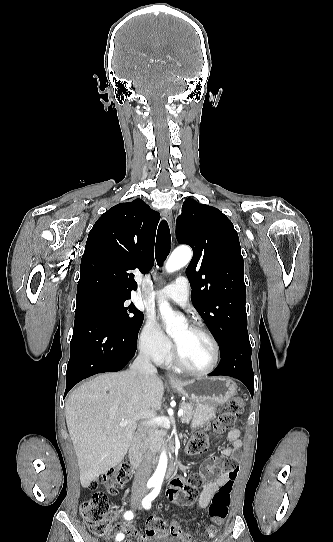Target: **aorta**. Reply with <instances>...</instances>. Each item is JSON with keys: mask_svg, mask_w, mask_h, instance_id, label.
Instances as JSON below:
<instances>
[{"mask_svg": "<svg viewBox=\"0 0 333 542\" xmlns=\"http://www.w3.org/2000/svg\"><path fill=\"white\" fill-rule=\"evenodd\" d=\"M191 256L192 254L189 248H187V252H183V250H174L169 260H167V264H166L167 272H169L170 274V272H177V270H180V268H184V266L188 264ZM159 312L166 324L167 334H170V332H173L174 328H176V326H179V324H181V318H179V316H175L168 302H160ZM167 464L168 462H167L166 452H162L160 456L159 464L151 478L155 488H161L163 484L164 476L166 474Z\"/></svg>", "mask_w": 333, "mask_h": 542, "instance_id": "obj_1", "label": "aorta"}]
</instances>
